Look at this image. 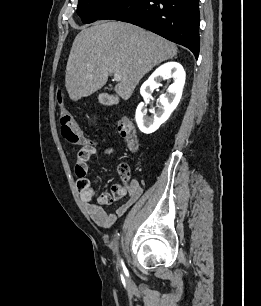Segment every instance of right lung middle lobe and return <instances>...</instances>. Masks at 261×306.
Listing matches in <instances>:
<instances>
[{
  "label": "right lung middle lobe",
  "instance_id": "right-lung-middle-lobe-1",
  "mask_svg": "<svg viewBox=\"0 0 261 306\" xmlns=\"http://www.w3.org/2000/svg\"><path fill=\"white\" fill-rule=\"evenodd\" d=\"M119 0H79L77 14L83 23H92Z\"/></svg>",
  "mask_w": 261,
  "mask_h": 306
}]
</instances>
